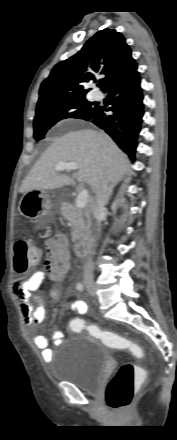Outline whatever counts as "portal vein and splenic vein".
I'll list each match as a JSON object with an SVG mask.
<instances>
[{"instance_id": "1", "label": "portal vein and splenic vein", "mask_w": 177, "mask_h": 440, "mask_svg": "<svg viewBox=\"0 0 177 440\" xmlns=\"http://www.w3.org/2000/svg\"><path fill=\"white\" fill-rule=\"evenodd\" d=\"M78 169V165L74 162H59L55 166L56 171H63V170H76ZM88 191L82 190L77 198H76V207L79 209H83L87 202H88Z\"/></svg>"}]
</instances>
